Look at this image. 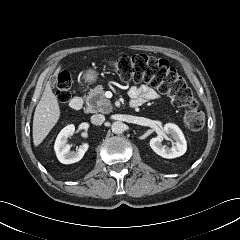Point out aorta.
<instances>
[{
    "instance_id": "aorta-1",
    "label": "aorta",
    "mask_w": 240,
    "mask_h": 240,
    "mask_svg": "<svg viewBox=\"0 0 240 240\" xmlns=\"http://www.w3.org/2000/svg\"><path fill=\"white\" fill-rule=\"evenodd\" d=\"M112 132L115 134H121L125 131V124L121 121H115L111 126Z\"/></svg>"
}]
</instances>
